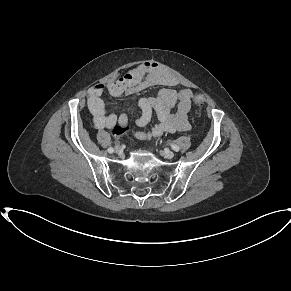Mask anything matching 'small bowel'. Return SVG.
<instances>
[{
  "label": "small bowel",
  "instance_id": "obj_1",
  "mask_svg": "<svg viewBox=\"0 0 291 291\" xmlns=\"http://www.w3.org/2000/svg\"><path fill=\"white\" fill-rule=\"evenodd\" d=\"M178 84L177 79L157 63L139 65L121 78L106 85L96 84L88 91L87 104L92 115L93 123L97 128L113 129L117 121L128 126L130 119L126 114L117 117L108 112L109 104L101 98L106 92L111 98L133 96L140 91L163 85L167 88L160 91L155 97H141L137 103L141 115L135 120L139 127L147 125L153 112L157 115V122L149 131H134L133 135L139 140H150L164 133L186 131L189 129L187 114L191 107L192 91L189 88L175 90L172 87Z\"/></svg>",
  "mask_w": 291,
  "mask_h": 291
}]
</instances>
